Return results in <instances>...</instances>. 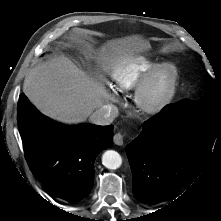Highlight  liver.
I'll return each instance as SVG.
<instances>
[{
	"mask_svg": "<svg viewBox=\"0 0 221 221\" xmlns=\"http://www.w3.org/2000/svg\"><path fill=\"white\" fill-rule=\"evenodd\" d=\"M108 46L109 53L117 55L113 56L114 61L148 45L138 37H130L111 41ZM106 51V47L102 48L103 54ZM23 91L42 113L69 124L85 121L110 99L102 83L90 78L64 55L31 69L25 77Z\"/></svg>",
	"mask_w": 221,
	"mask_h": 221,
	"instance_id": "1",
	"label": "liver"
}]
</instances>
